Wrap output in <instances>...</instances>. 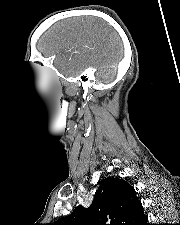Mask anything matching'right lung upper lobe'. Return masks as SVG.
<instances>
[{"label": "right lung upper lobe", "mask_w": 180, "mask_h": 225, "mask_svg": "<svg viewBox=\"0 0 180 225\" xmlns=\"http://www.w3.org/2000/svg\"><path fill=\"white\" fill-rule=\"evenodd\" d=\"M89 208L77 206L52 225H141L147 216L130 184L122 179L105 178Z\"/></svg>", "instance_id": "obj_1"}]
</instances>
